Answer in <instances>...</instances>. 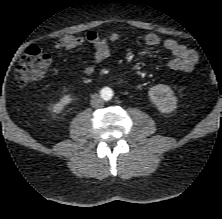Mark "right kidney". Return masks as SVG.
<instances>
[{
  "label": "right kidney",
  "instance_id": "1",
  "mask_svg": "<svg viewBox=\"0 0 222 219\" xmlns=\"http://www.w3.org/2000/svg\"><path fill=\"white\" fill-rule=\"evenodd\" d=\"M72 98H71V94H65L60 100L59 102H57L56 104L53 105L52 107V111L55 114H59L63 111L64 107L66 105H68L71 102Z\"/></svg>",
  "mask_w": 222,
  "mask_h": 219
}]
</instances>
